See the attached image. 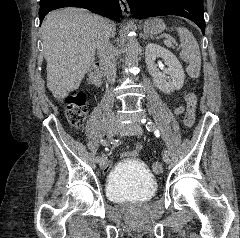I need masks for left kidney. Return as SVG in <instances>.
<instances>
[{
    "label": "left kidney",
    "instance_id": "1",
    "mask_svg": "<svg viewBox=\"0 0 240 238\" xmlns=\"http://www.w3.org/2000/svg\"><path fill=\"white\" fill-rule=\"evenodd\" d=\"M162 58L167 68L160 72L155 64L156 58ZM145 63L155 86L165 93H171L183 87L185 74L177 57L166 48L149 43L145 49ZM166 75H169L170 78Z\"/></svg>",
    "mask_w": 240,
    "mask_h": 238
}]
</instances>
